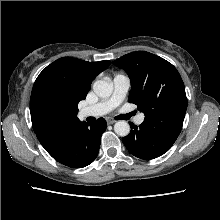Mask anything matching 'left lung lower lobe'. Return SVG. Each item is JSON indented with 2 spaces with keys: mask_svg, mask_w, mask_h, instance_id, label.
I'll return each mask as SVG.
<instances>
[{
  "mask_svg": "<svg viewBox=\"0 0 220 220\" xmlns=\"http://www.w3.org/2000/svg\"><path fill=\"white\" fill-rule=\"evenodd\" d=\"M185 114L167 113L145 116L140 126H131L122 138L127 150L141 159H154L167 152L179 136Z\"/></svg>",
  "mask_w": 220,
  "mask_h": 220,
  "instance_id": "0a47b994",
  "label": "left lung lower lobe"
}]
</instances>
